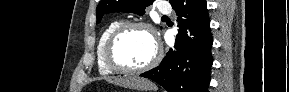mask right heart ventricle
<instances>
[{"label": "right heart ventricle", "mask_w": 289, "mask_h": 92, "mask_svg": "<svg viewBox=\"0 0 289 92\" xmlns=\"http://www.w3.org/2000/svg\"><path fill=\"white\" fill-rule=\"evenodd\" d=\"M123 22L121 20H114L111 21L102 31L97 47H96V59H97V66H98V71L101 75H112L115 73L114 70L110 69L104 58V49L106 42L111 35V33L122 24Z\"/></svg>", "instance_id": "right-heart-ventricle-1"}]
</instances>
